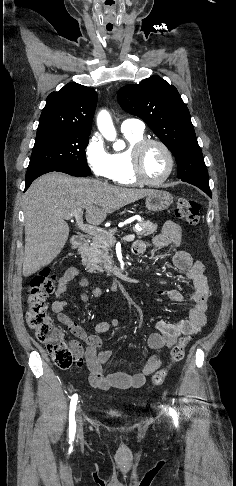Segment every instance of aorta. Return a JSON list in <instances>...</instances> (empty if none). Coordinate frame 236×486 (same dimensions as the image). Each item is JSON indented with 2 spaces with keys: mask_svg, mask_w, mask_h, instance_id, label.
<instances>
[{
  "mask_svg": "<svg viewBox=\"0 0 236 486\" xmlns=\"http://www.w3.org/2000/svg\"><path fill=\"white\" fill-rule=\"evenodd\" d=\"M97 125H98L99 131L107 140H110V141L116 140L115 127L112 123L110 115L106 111H102L98 115ZM123 147H124V143L122 141H116L113 144V148L115 150H121V149H123Z\"/></svg>",
  "mask_w": 236,
  "mask_h": 486,
  "instance_id": "aorta-1",
  "label": "aorta"
}]
</instances>
